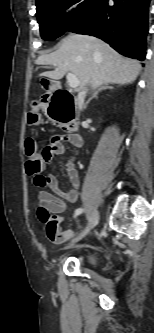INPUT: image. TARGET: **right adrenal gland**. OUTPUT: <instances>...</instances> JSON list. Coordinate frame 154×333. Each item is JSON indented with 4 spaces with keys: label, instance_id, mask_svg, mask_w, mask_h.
Segmentation results:
<instances>
[{
    "label": "right adrenal gland",
    "instance_id": "obj_1",
    "mask_svg": "<svg viewBox=\"0 0 154 333\" xmlns=\"http://www.w3.org/2000/svg\"><path fill=\"white\" fill-rule=\"evenodd\" d=\"M111 90L113 89L112 86L108 85L107 83L103 84L100 88H98L96 91H94V93L92 94V96L88 99V101L85 104V107L87 106V104L93 99V98H97L99 92H101L102 90Z\"/></svg>",
    "mask_w": 154,
    "mask_h": 333
}]
</instances>
